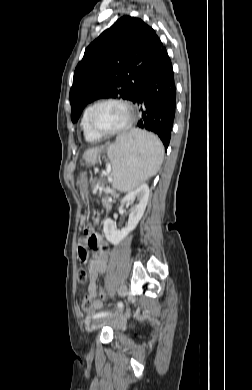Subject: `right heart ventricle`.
<instances>
[{"instance_id": "right-heart-ventricle-1", "label": "right heart ventricle", "mask_w": 252, "mask_h": 390, "mask_svg": "<svg viewBox=\"0 0 252 390\" xmlns=\"http://www.w3.org/2000/svg\"><path fill=\"white\" fill-rule=\"evenodd\" d=\"M91 108H92V105H88L85 108L83 115H82V119H81V127L83 130V134H84L85 139L89 142H96V141H99L102 138V136L95 133L89 126V114H90Z\"/></svg>"}]
</instances>
